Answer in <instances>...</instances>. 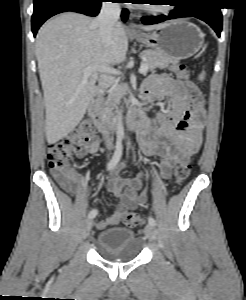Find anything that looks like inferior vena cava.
Segmentation results:
<instances>
[{
  "mask_svg": "<svg viewBox=\"0 0 246 300\" xmlns=\"http://www.w3.org/2000/svg\"><path fill=\"white\" fill-rule=\"evenodd\" d=\"M120 13L119 3L103 2L99 15L94 19V24L98 26L101 41L105 46H109L112 42L113 29L120 19ZM99 84L101 88L107 89L112 85V78L108 75H101ZM103 136L107 148L112 149V138L106 128L103 130Z\"/></svg>",
  "mask_w": 246,
  "mask_h": 300,
  "instance_id": "obj_1",
  "label": "inferior vena cava"
}]
</instances>
